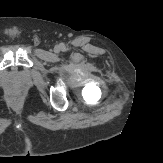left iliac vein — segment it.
<instances>
[{
  "instance_id": "1",
  "label": "left iliac vein",
  "mask_w": 163,
  "mask_h": 163,
  "mask_svg": "<svg viewBox=\"0 0 163 163\" xmlns=\"http://www.w3.org/2000/svg\"><path fill=\"white\" fill-rule=\"evenodd\" d=\"M54 51H55L56 53H58V52L60 51V47H59V46H55Z\"/></svg>"
}]
</instances>
